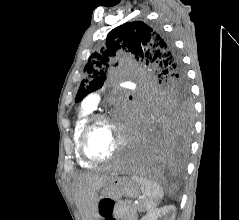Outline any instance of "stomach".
<instances>
[{
    "label": "stomach",
    "instance_id": "obj_1",
    "mask_svg": "<svg viewBox=\"0 0 239 220\" xmlns=\"http://www.w3.org/2000/svg\"><path fill=\"white\" fill-rule=\"evenodd\" d=\"M141 189L139 185L130 178H111L102 187L99 199L97 200V210L100 220H119L117 205H113L122 197L137 198Z\"/></svg>",
    "mask_w": 239,
    "mask_h": 220
}]
</instances>
